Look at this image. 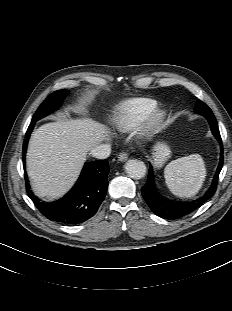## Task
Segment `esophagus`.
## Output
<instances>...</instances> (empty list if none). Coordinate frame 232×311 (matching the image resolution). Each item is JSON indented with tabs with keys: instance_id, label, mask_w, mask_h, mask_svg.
Segmentation results:
<instances>
[{
	"instance_id": "34e87169",
	"label": "esophagus",
	"mask_w": 232,
	"mask_h": 311,
	"mask_svg": "<svg viewBox=\"0 0 232 311\" xmlns=\"http://www.w3.org/2000/svg\"><path fill=\"white\" fill-rule=\"evenodd\" d=\"M128 159V154L126 152H122L118 155V160L121 162H125Z\"/></svg>"
}]
</instances>
